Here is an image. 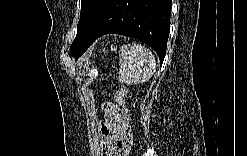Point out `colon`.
I'll return each mask as SVG.
<instances>
[{"mask_svg":"<svg viewBox=\"0 0 247 156\" xmlns=\"http://www.w3.org/2000/svg\"><path fill=\"white\" fill-rule=\"evenodd\" d=\"M113 87L116 89V92L114 95L116 108L118 112L120 113V115L122 116V118L124 119V122L130 126L131 114L125 102L126 94H127L126 88L118 82H115L113 84Z\"/></svg>","mask_w":247,"mask_h":156,"instance_id":"5ec220e1","label":"colon"}]
</instances>
